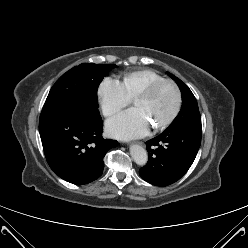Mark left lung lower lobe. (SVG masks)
Returning a JSON list of instances; mask_svg holds the SVG:
<instances>
[{"label": "left lung lower lobe", "instance_id": "obj_1", "mask_svg": "<svg viewBox=\"0 0 248 248\" xmlns=\"http://www.w3.org/2000/svg\"><path fill=\"white\" fill-rule=\"evenodd\" d=\"M201 143V129H166L146 142L148 162L139 170L142 179L156 186L179 180L192 165Z\"/></svg>", "mask_w": 248, "mask_h": 248}]
</instances>
